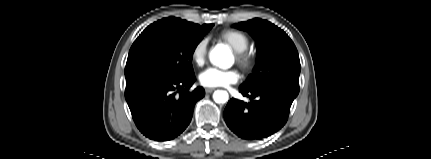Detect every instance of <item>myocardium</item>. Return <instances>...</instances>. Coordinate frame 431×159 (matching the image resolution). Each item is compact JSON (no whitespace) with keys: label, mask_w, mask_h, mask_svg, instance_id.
<instances>
[{"label":"myocardium","mask_w":431,"mask_h":159,"mask_svg":"<svg viewBox=\"0 0 431 159\" xmlns=\"http://www.w3.org/2000/svg\"><path fill=\"white\" fill-rule=\"evenodd\" d=\"M235 58L237 63L241 66L245 71H249L253 68L255 64L254 55L247 50L241 52H235Z\"/></svg>","instance_id":"f54148a6"}]
</instances>
